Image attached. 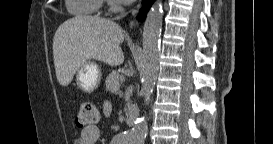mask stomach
Segmentation results:
<instances>
[{"mask_svg":"<svg viewBox=\"0 0 273 144\" xmlns=\"http://www.w3.org/2000/svg\"><path fill=\"white\" fill-rule=\"evenodd\" d=\"M102 73L100 67L93 61H87L76 71V83L80 89L91 93L100 84Z\"/></svg>","mask_w":273,"mask_h":144,"instance_id":"1","label":"stomach"}]
</instances>
